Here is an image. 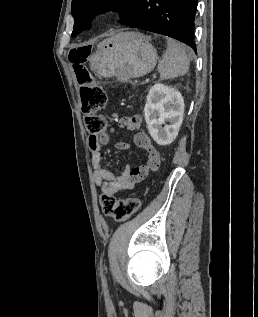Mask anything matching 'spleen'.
I'll use <instances>...</instances> for the list:
<instances>
[{
	"label": "spleen",
	"mask_w": 258,
	"mask_h": 317,
	"mask_svg": "<svg viewBox=\"0 0 258 317\" xmlns=\"http://www.w3.org/2000/svg\"><path fill=\"white\" fill-rule=\"evenodd\" d=\"M192 56L191 48H184L176 40L168 38L166 52H164L163 58L158 64L162 80L163 78H175V76L186 74L189 70V62Z\"/></svg>",
	"instance_id": "1"
}]
</instances>
